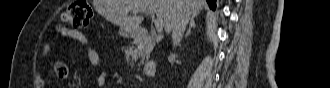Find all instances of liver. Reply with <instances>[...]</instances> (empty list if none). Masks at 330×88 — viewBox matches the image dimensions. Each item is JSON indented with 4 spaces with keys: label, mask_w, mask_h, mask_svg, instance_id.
Instances as JSON below:
<instances>
[{
    "label": "liver",
    "mask_w": 330,
    "mask_h": 88,
    "mask_svg": "<svg viewBox=\"0 0 330 88\" xmlns=\"http://www.w3.org/2000/svg\"><path fill=\"white\" fill-rule=\"evenodd\" d=\"M93 4L104 18L118 25L125 36L136 33L143 21V16L129 15L134 8L156 10L157 17L164 21L165 32L169 33L181 12L197 15L206 7L205 0H94Z\"/></svg>",
    "instance_id": "1"
}]
</instances>
